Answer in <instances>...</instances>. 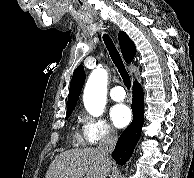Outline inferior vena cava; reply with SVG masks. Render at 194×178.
Listing matches in <instances>:
<instances>
[{"label":"inferior vena cava","mask_w":194,"mask_h":178,"mask_svg":"<svg viewBox=\"0 0 194 178\" xmlns=\"http://www.w3.org/2000/svg\"><path fill=\"white\" fill-rule=\"evenodd\" d=\"M117 139V134L111 130L107 131L106 135L102 137L97 147V151L103 160L107 162L110 161V154L115 147Z\"/></svg>","instance_id":"1"}]
</instances>
